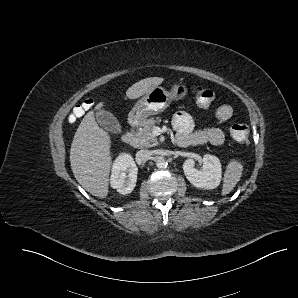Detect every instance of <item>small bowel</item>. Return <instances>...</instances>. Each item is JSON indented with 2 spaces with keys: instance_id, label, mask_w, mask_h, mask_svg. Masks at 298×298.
<instances>
[{
  "instance_id": "1",
  "label": "small bowel",
  "mask_w": 298,
  "mask_h": 298,
  "mask_svg": "<svg viewBox=\"0 0 298 298\" xmlns=\"http://www.w3.org/2000/svg\"><path fill=\"white\" fill-rule=\"evenodd\" d=\"M233 115V108L228 104L220 105L215 111V117L219 121H226ZM174 128L178 133H190L194 123L192 117L186 112H178L172 120ZM196 135L202 139L201 143H210L215 146H220L225 141L224 133L219 128H210L204 132H198Z\"/></svg>"
}]
</instances>
